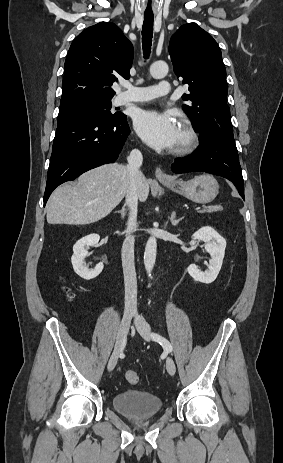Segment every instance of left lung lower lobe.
<instances>
[{
  "label": "left lung lower lobe",
  "instance_id": "0a47b994",
  "mask_svg": "<svg viewBox=\"0 0 283 463\" xmlns=\"http://www.w3.org/2000/svg\"><path fill=\"white\" fill-rule=\"evenodd\" d=\"M198 151L175 159V173L207 172L232 181L244 199V183L236 146L219 137H201Z\"/></svg>",
  "mask_w": 283,
  "mask_h": 463
}]
</instances>
